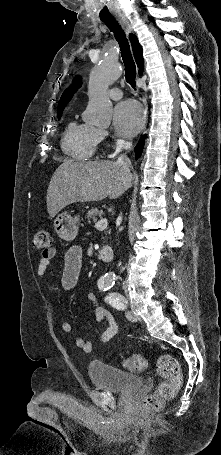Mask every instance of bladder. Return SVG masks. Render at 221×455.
Returning a JSON list of instances; mask_svg holds the SVG:
<instances>
[{"instance_id":"31cf9c89","label":"bladder","mask_w":221,"mask_h":455,"mask_svg":"<svg viewBox=\"0 0 221 455\" xmlns=\"http://www.w3.org/2000/svg\"><path fill=\"white\" fill-rule=\"evenodd\" d=\"M87 369L91 382L109 391L129 392L140 389L144 384L140 376L108 364L90 362Z\"/></svg>"}]
</instances>
